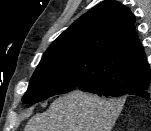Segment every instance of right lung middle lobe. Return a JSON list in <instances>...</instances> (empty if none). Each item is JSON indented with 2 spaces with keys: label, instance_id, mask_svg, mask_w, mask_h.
<instances>
[{
  "label": "right lung middle lobe",
  "instance_id": "dd1d6c3e",
  "mask_svg": "<svg viewBox=\"0 0 151 131\" xmlns=\"http://www.w3.org/2000/svg\"><path fill=\"white\" fill-rule=\"evenodd\" d=\"M89 77L95 85L107 88L93 57L63 42L47 49L31 77L24 104H34L51 96L76 89V79Z\"/></svg>",
  "mask_w": 151,
  "mask_h": 131
}]
</instances>
